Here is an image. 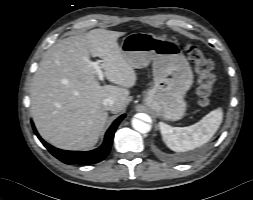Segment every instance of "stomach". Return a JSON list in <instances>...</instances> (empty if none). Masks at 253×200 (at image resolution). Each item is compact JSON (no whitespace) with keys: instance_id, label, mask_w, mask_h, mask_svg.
Returning a JSON list of instances; mask_svg holds the SVG:
<instances>
[{"instance_id":"stomach-1","label":"stomach","mask_w":253,"mask_h":200,"mask_svg":"<svg viewBox=\"0 0 253 200\" xmlns=\"http://www.w3.org/2000/svg\"><path fill=\"white\" fill-rule=\"evenodd\" d=\"M123 57L133 68L153 63L154 86L147 92L144 104L157 117L175 121L186 110V92L193 83L189 62L172 41L151 33L127 35L120 46Z\"/></svg>"}]
</instances>
